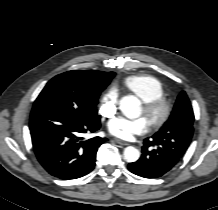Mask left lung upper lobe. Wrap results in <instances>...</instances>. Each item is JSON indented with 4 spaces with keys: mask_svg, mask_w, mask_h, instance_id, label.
<instances>
[{
    "mask_svg": "<svg viewBox=\"0 0 218 210\" xmlns=\"http://www.w3.org/2000/svg\"><path fill=\"white\" fill-rule=\"evenodd\" d=\"M194 114L185 92L177 98L173 111L163 127L152 139L163 143L166 149L187 150L193 135Z\"/></svg>",
    "mask_w": 218,
    "mask_h": 210,
    "instance_id": "5c2ea615",
    "label": "left lung upper lobe"
}]
</instances>
